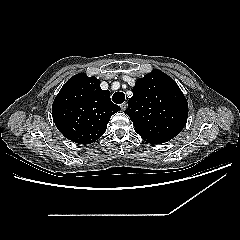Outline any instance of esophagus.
<instances>
[{
	"mask_svg": "<svg viewBox=\"0 0 240 240\" xmlns=\"http://www.w3.org/2000/svg\"><path fill=\"white\" fill-rule=\"evenodd\" d=\"M120 107H121V110L124 111L127 107V103L126 102L122 103Z\"/></svg>",
	"mask_w": 240,
	"mask_h": 240,
	"instance_id": "esophagus-1",
	"label": "esophagus"
}]
</instances>
